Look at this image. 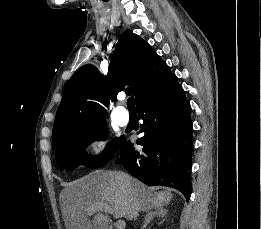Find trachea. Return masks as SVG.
I'll use <instances>...</instances> for the list:
<instances>
[{"mask_svg":"<svg viewBox=\"0 0 261 229\" xmlns=\"http://www.w3.org/2000/svg\"><path fill=\"white\" fill-rule=\"evenodd\" d=\"M127 107L129 112H136L134 97H129L127 100Z\"/></svg>","mask_w":261,"mask_h":229,"instance_id":"3493384b","label":"trachea"}]
</instances>
